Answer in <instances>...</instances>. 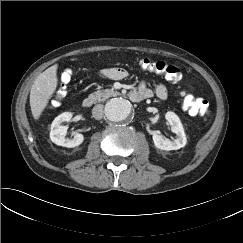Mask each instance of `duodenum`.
I'll list each match as a JSON object with an SVG mask.
<instances>
[{
  "label": "duodenum",
  "mask_w": 243,
  "mask_h": 243,
  "mask_svg": "<svg viewBox=\"0 0 243 243\" xmlns=\"http://www.w3.org/2000/svg\"><path fill=\"white\" fill-rule=\"evenodd\" d=\"M129 97L134 102H138V101H141V100L145 99L144 96L139 95V94H137L135 92H132ZM93 103H94V100L91 97H86L82 101V106L84 108H89V107H91L93 105Z\"/></svg>",
  "instance_id": "410a0bca"
}]
</instances>
